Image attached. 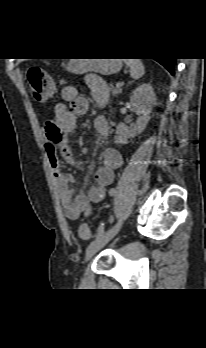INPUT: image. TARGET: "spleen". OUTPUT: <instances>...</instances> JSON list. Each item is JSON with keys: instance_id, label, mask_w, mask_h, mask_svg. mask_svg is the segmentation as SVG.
<instances>
[{"instance_id": "spleen-1", "label": "spleen", "mask_w": 206, "mask_h": 348, "mask_svg": "<svg viewBox=\"0 0 206 348\" xmlns=\"http://www.w3.org/2000/svg\"><path fill=\"white\" fill-rule=\"evenodd\" d=\"M126 65L130 68V76L138 80L145 74V67L140 59H125Z\"/></svg>"}]
</instances>
